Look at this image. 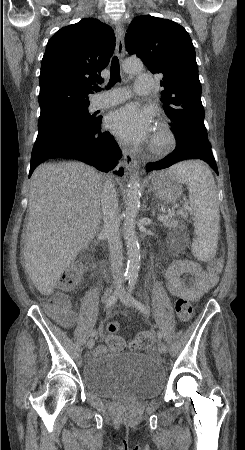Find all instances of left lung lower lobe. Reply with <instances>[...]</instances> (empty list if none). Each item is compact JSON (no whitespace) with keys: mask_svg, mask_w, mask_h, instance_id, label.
<instances>
[{"mask_svg":"<svg viewBox=\"0 0 245 450\" xmlns=\"http://www.w3.org/2000/svg\"><path fill=\"white\" fill-rule=\"evenodd\" d=\"M201 159L206 161L211 168L218 174L216 161L211 151L210 145L191 146L182 148L177 146L176 150L167 155L164 159L157 162H150L146 165V171L161 170L170 167L172 164L186 159Z\"/></svg>","mask_w":245,"mask_h":450,"instance_id":"left-lung-lower-lobe-1","label":"left lung lower lobe"}]
</instances>
